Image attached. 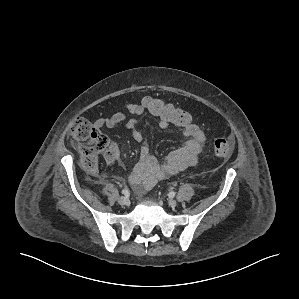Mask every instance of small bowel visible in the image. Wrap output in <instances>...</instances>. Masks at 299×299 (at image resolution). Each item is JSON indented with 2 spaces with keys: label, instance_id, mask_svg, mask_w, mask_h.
Wrapping results in <instances>:
<instances>
[{
  "label": "small bowel",
  "instance_id": "1",
  "mask_svg": "<svg viewBox=\"0 0 299 299\" xmlns=\"http://www.w3.org/2000/svg\"><path fill=\"white\" fill-rule=\"evenodd\" d=\"M147 113L142 102L127 103L125 111L117 112L111 116L100 118L96 121L97 127L108 129L125 123L132 138L140 144L139 160L130 173L129 181L138 194L152 188L158 181L175 175L195 165L199 155L202 153L205 144V135L201 128L193 121L182 126V135L185 138L184 144L171 151L162 162L151 153L149 143L144 134L137 129L140 117ZM160 128L170 126L163 120H158ZM119 147L116 143L110 142L102 156L108 165H113L119 158Z\"/></svg>",
  "mask_w": 299,
  "mask_h": 299
}]
</instances>
